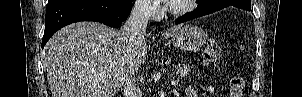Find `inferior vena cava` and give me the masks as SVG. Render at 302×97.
Returning <instances> with one entry per match:
<instances>
[{
  "label": "inferior vena cava",
  "mask_w": 302,
  "mask_h": 97,
  "mask_svg": "<svg viewBox=\"0 0 302 97\" xmlns=\"http://www.w3.org/2000/svg\"><path fill=\"white\" fill-rule=\"evenodd\" d=\"M152 4L149 0H139L135 3L129 18L122 27V35L129 38L132 45L146 33L147 23L151 14ZM137 69L130 67L124 82L126 97H142V91L136 84Z\"/></svg>",
  "instance_id": "obj_1"
}]
</instances>
